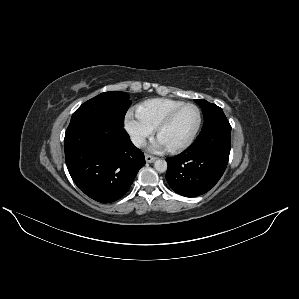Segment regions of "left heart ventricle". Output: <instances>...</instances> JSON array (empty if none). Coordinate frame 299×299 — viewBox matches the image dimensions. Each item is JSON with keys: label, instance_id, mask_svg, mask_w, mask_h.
I'll list each match as a JSON object with an SVG mask.
<instances>
[{"label": "left heart ventricle", "instance_id": "obj_1", "mask_svg": "<svg viewBox=\"0 0 299 299\" xmlns=\"http://www.w3.org/2000/svg\"><path fill=\"white\" fill-rule=\"evenodd\" d=\"M197 121V110L194 107H185L176 115L174 120L162 130L160 138L168 147L179 145L191 136Z\"/></svg>", "mask_w": 299, "mask_h": 299}]
</instances>
